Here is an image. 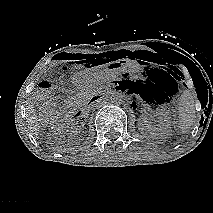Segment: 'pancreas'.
<instances>
[{"label":"pancreas","mask_w":213,"mask_h":213,"mask_svg":"<svg viewBox=\"0 0 213 213\" xmlns=\"http://www.w3.org/2000/svg\"><path fill=\"white\" fill-rule=\"evenodd\" d=\"M97 85H86L81 88L80 101H88L94 94H96Z\"/></svg>","instance_id":"cf45deb5"}]
</instances>
